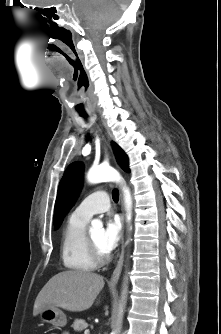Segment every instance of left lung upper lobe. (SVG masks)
<instances>
[{
    "label": "left lung upper lobe",
    "instance_id": "1",
    "mask_svg": "<svg viewBox=\"0 0 221 334\" xmlns=\"http://www.w3.org/2000/svg\"><path fill=\"white\" fill-rule=\"evenodd\" d=\"M112 145L119 164L125 171L129 172L127 156L116 143H112ZM83 169L84 166L81 162H73L67 167L61 179L54 208V229L59 227L63 217L72 207L80 192Z\"/></svg>",
    "mask_w": 221,
    "mask_h": 334
}]
</instances>
